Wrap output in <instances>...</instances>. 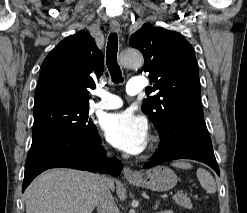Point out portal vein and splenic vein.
<instances>
[{"label": "portal vein and splenic vein", "instance_id": "1", "mask_svg": "<svg viewBox=\"0 0 247 213\" xmlns=\"http://www.w3.org/2000/svg\"><path fill=\"white\" fill-rule=\"evenodd\" d=\"M177 195H178V193L173 194V198L176 197Z\"/></svg>", "mask_w": 247, "mask_h": 213}]
</instances>
